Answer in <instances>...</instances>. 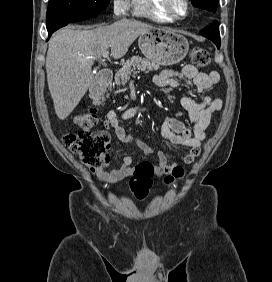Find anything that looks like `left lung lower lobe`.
Listing matches in <instances>:
<instances>
[{
	"instance_id": "1",
	"label": "left lung lower lobe",
	"mask_w": 272,
	"mask_h": 282,
	"mask_svg": "<svg viewBox=\"0 0 272 282\" xmlns=\"http://www.w3.org/2000/svg\"><path fill=\"white\" fill-rule=\"evenodd\" d=\"M200 34L212 40L216 44L217 48H220V36L217 24H211L210 26L203 29Z\"/></svg>"
}]
</instances>
